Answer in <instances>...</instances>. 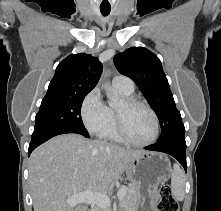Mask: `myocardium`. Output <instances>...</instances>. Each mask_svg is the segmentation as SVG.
<instances>
[{"label": "myocardium", "instance_id": "f54148a6", "mask_svg": "<svg viewBox=\"0 0 221 211\" xmlns=\"http://www.w3.org/2000/svg\"><path fill=\"white\" fill-rule=\"evenodd\" d=\"M124 103L127 107L143 106L150 112L154 120V134H153V137L146 142L135 141L134 139L131 138V136L129 135L127 131L122 113L116 110L115 115H116L117 129H118V133L120 137L123 139V141L134 146L146 147V146L152 145L158 139L159 129H160L159 119H158L156 112L147 102L141 99L135 98V97L125 98Z\"/></svg>", "mask_w": 221, "mask_h": 211}]
</instances>
